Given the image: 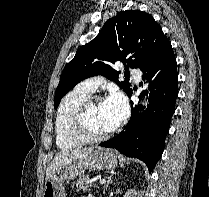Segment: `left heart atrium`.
Listing matches in <instances>:
<instances>
[{
	"label": "left heart atrium",
	"mask_w": 209,
	"mask_h": 197,
	"mask_svg": "<svg viewBox=\"0 0 209 197\" xmlns=\"http://www.w3.org/2000/svg\"><path fill=\"white\" fill-rule=\"evenodd\" d=\"M112 127L118 126L127 116L128 105L124 95L120 92H113L103 101L102 105Z\"/></svg>",
	"instance_id": "obj_1"
}]
</instances>
